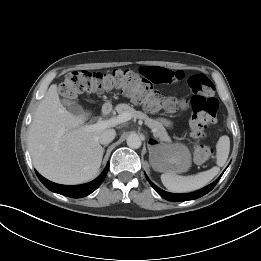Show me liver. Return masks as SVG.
I'll return each instance as SVG.
<instances>
[{
  "label": "liver",
  "mask_w": 261,
  "mask_h": 261,
  "mask_svg": "<svg viewBox=\"0 0 261 261\" xmlns=\"http://www.w3.org/2000/svg\"><path fill=\"white\" fill-rule=\"evenodd\" d=\"M86 115L75 116L60 102L52 84L38 105L28 131V148L34 167L60 184H81L96 177L103 157L99 136L87 130Z\"/></svg>",
  "instance_id": "liver-1"
}]
</instances>
